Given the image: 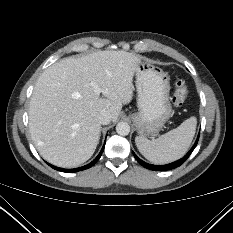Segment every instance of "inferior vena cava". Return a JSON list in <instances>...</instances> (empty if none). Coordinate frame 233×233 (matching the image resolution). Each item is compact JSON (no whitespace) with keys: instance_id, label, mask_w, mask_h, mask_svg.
Here are the masks:
<instances>
[{"instance_id":"obj_1","label":"inferior vena cava","mask_w":233,"mask_h":233,"mask_svg":"<svg viewBox=\"0 0 233 233\" xmlns=\"http://www.w3.org/2000/svg\"><path fill=\"white\" fill-rule=\"evenodd\" d=\"M99 123L102 125H107L111 122V115L110 113L104 111L99 114L98 116Z\"/></svg>"}]
</instances>
